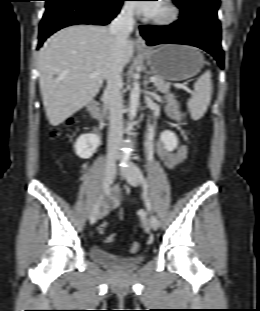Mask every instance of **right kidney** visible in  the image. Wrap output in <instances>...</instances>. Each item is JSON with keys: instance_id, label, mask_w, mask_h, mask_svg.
<instances>
[{"instance_id": "ca27d5eb", "label": "right kidney", "mask_w": 260, "mask_h": 311, "mask_svg": "<svg viewBox=\"0 0 260 311\" xmlns=\"http://www.w3.org/2000/svg\"><path fill=\"white\" fill-rule=\"evenodd\" d=\"M100 143L96 134H82L75 142L74 149L81 159L90 158Z\"/></svg>"}]
</instances>
